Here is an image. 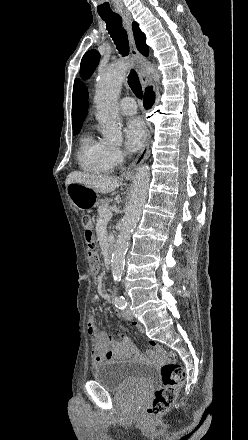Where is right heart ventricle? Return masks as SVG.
I'll return each instance as SVG.
<instances>
[{
	"label": "right heart ventricle",
	"instance_id": "e07e8e85",
	"mask_svg": "<svg viewBox=\"0 0 248 440\" xmlns=\"http://www.w3.org/2000/svg\"><path fill=\"white\" fill-rule=\"evenodd\" d=\"M108 146L95 139L91 134H85L77 153L81 169L91 174H106L112 169L107 159Z\"/></svg>",
	"mask_w": 248,
	"mask_h": 440
}]
</instances>
